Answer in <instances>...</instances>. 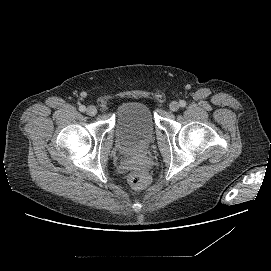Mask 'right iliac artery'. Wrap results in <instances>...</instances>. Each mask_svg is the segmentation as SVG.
<instances>
[{
  "mask_svg": "<svg viewBox=\"0 0 271 271\" xmlns=\"http://www.w3.org/2000/svg\"><path fill=\"white\" fill-rule=\"evenodd\" d=\"M79 111L85 112V111H86V107H85L84 105H81V106L79 107Z\"/></svg>",
  "mask_w": 271,
  "mask_h": 271,
  "instance_id": "right-iliac-artery-1",
  "label": "right iliac artery"
}]
</instances>
